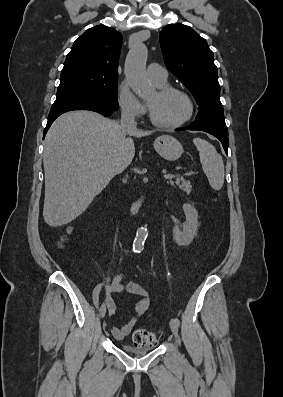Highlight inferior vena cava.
Instances as JSON below:
<instances>
[{"mask_svg":"<svg viewBox=\"0 0 283 397\" xmlns=\"http://www.w3.org/2000/svg\"><path fill=\"white\" fill-rule=\"evenodd\" d=\"M120 125L121 128L127 132L136 129L137 123L132 111L126 108L122 109Z\"/></svg>","mask_w":283,"mask_h":397,"instance_id":"obj_1","label":"inferior vena cava"}]
</instances>
